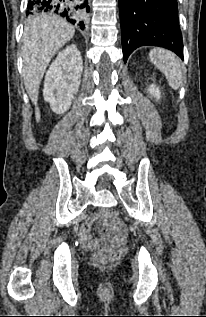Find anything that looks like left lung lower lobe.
<instances>
[{
    "instance_id": "left-lung-lower-lobe-1",
    "label": "left lung lower lobe",
    "mask_w": 206,
    "mask_h": 317,
    "mask_svg": "<svg viewBox=\"0 0 206 317\" xmlns=\"http://www.w3.org/2000/svg\"><path fill=\"white\" fill-rule=\"evenodd\" d=\"M124 62L138 47L159 46L183 59L177 0H119Z\"/></svg>"
}]
</instances>
